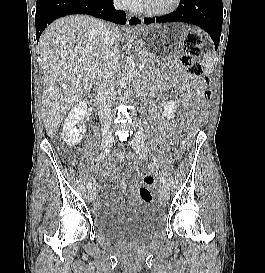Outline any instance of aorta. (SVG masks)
Returning <instances> with one entry per match:
<instances>
[{"instance_id":"aorta-1","label":"aorta","mask_w":265,"mask_h":273,"mask_svg":"<svg viewBox=\"0 0 265 273\" xmlns=\"http://www.w3.org/2000/svg\"><path fill=\"white\" fill-rule=\"evenodd\" d=\"M134 72H135V61L133 56L130 54L126 57L121 79L119 80V83H118L120 88H123L127 83H129L133 79Z\"/></svg>"}]
</instances>
